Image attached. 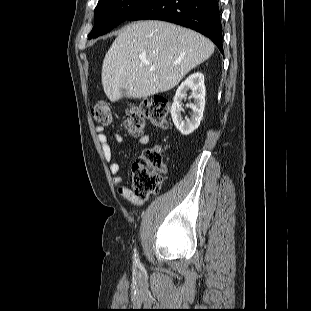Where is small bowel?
Instances as JSON below:
<instances>
[{"instance_id":"c3829d8e","label":"small bowel","mask_w":311,"mask_h":311,"mask_svg":"<svg viewBox=\"0 0 311 311\" xmlns=\"http://www.w3.org/2000/svg\"><path fill=\"white\" fill-rule=\"evenodd\" d=\"M95 133L103 158L108 163V169L112 175L116 191L118 194L131 201L135 206H142L149 200V196H138L130 188L123 185L122 176L120 175V165L117 161L113 160L112 147L108 142V138L104 132L103 127L96 126ZM114 140L117 144H121L123 142V136L119 133H116L114 135ZM149 141L150 138L148 135H141L138 139V143L142 146L147 145Z\"/></svg>"}]
</instances>
